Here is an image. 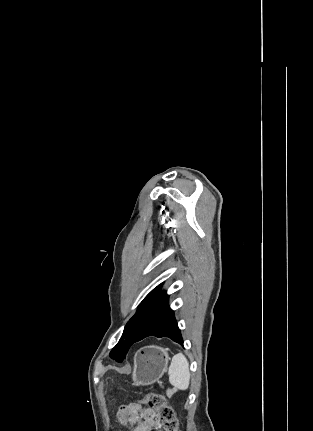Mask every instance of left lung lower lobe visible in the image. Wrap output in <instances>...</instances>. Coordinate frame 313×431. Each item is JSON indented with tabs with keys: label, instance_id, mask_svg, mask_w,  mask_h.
<instances>
[{
	"label": "left lung lower lobe",
	"instance_id": "1",
	"mask_svg": "<svg viewBox=\"0 0 313 431\" xmlns=\"http://www.w3.org/2000/svg\"><path fill=\"white\" fill-rule=\"evenodd\" d=\"M156 336L158 338L168 337L173 341L183 345V338L173 311L167 304L159 310L140 330L134 342H138L146 337Z\"/></svg>",
	"mask_w": 313,
	"mask_h": 431
}]
</instances>
